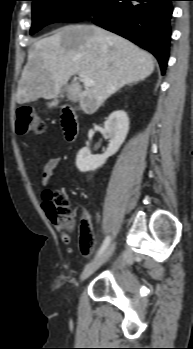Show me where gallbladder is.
<instances>
[{
    "label": "gallbladder",
    "mask_w": 193,
    "mask_h": 349,
    "mask_svg": "<svg viewBox=\"0 0 193 349\" xmlns=\"http://www.w3.org/2000/svg\"><path fill=\"white\" fill-rule=\"evenodd\" d=\"M66 91V88L62 89L61 94L59 95V97L53 99L51 102L47 103V106L49 108L52 107H57L59 105V98L63 97L64 92Z\"/></svg>",
    "instance_id": "1"
}]
</instances>
